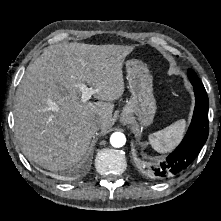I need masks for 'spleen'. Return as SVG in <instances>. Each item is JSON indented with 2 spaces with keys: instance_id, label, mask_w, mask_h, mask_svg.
Instances as JSON below:
<instances>
[{
  "instance_id": "3e777b00",
  "label": "spleen",
  "mask_w": 221,
  "mask_h": 221,
  "mask_svg": "<svg viewBox=\"0 0 221 221\" xmlns=\"http://www.w3.org/2000/svg\"><path fill=\"white\" fill-rule=\"evenodd\" d=\"M186 127L185 120H178L166 128L149 135V143L159 153L171 151L182 138Z\"/></svg>"
}]
</instances>
